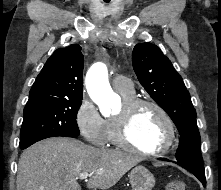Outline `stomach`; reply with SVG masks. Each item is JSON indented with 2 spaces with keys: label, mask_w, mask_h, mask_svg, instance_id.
I'll list each match as a JSON object with an SVG mask.
<instances>
[{
  "label": "stomach",
  "mask_w": 221,
  "mask_h": 190,
  "mask_svg": "<svg viewBox=\"0 0 221 190\" xmlns=\"http://www.w3.org/2000/svg\"><path fill=\"white\" fill-rule=\"evenodd\" d=\"M129 180L132 190H152L155 185L154 175L141 165L131 170Z\"/></svg>",
  "instance_id": "1"
}]
</instances>
